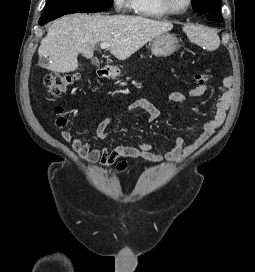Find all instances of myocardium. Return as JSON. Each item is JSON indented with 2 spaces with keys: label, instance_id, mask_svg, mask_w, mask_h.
<instances>
[{
  "label": "myocardium",
  "instance_id": "myocardium-1",
  "mask_svg": "<svg viewBox=\"0 0 255 272\" xmlns=\"http://www.w3.org/2000/svg\"><path fill=\"white\" fill-rule=\"evenodd\" d=\"M161 7L169 15H181L184 14L192 5V0H187L186 5L181 9H176L172 6L170 0H159Z\"/></svg>",
  "mask_w": 255,
  "mask_h": 272
}]
</instances>
